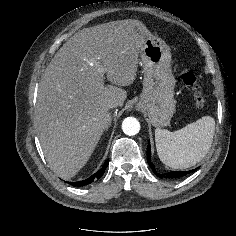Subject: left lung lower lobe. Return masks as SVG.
Segmentation results:
<instances>
[{
	"label": "left lung lower lobe",
	"instance_id": "obj_1",
	"mask_svg": "<svg viewBox=\"0 0 236 236\" xmlns=\"http://www.w3.org/2000/svg\"><path fill=\"white\" fill-rule=\"evenodd\" d=\"M147 160L148 163L150 165V167L152 168L153 172L160 178H180L183 177L187 174H190L191 172L195 171L196 169L190 170V171H171L168 173H163V174H159L156 172L154 164L151 162V146H150V142H148V146H147Z\"/></svg>",
	"mask_w": 236,
	"mask_h": 236
}]
</instances>
